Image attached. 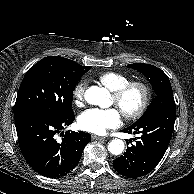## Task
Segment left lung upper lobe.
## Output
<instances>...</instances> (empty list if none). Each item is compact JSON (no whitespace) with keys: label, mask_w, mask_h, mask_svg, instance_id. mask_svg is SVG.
<instances>
[{"label":"left lung upper lobe","mask_w":194,"mask_h":194,"mask_svg":"<svg viewBox=\"0 0 194 194\" xmlns=\"http://www.w3.org/2000/svg\"><path fill=\"white\" fill-rule=\"evenodd\" d=\"M128 68H133L145 75L155 90L156 96L144 115L157 109L175 107L171 83L161 69L144 63L129 64Z\"/></svg>","instance_id":"left-lung-upper-lobe-1"}]
</instances>
